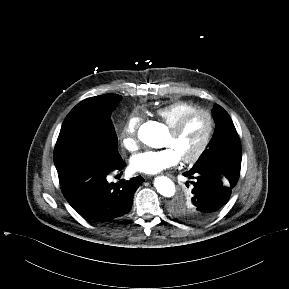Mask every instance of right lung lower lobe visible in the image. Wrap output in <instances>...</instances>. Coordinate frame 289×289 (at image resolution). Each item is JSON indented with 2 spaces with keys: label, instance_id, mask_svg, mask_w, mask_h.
Instances as JSON below:
<instances>
[{
  "label": "right lung lower lobe",
  "instance_id": "right-lung-lower-lobe-1",
  "mask_svg": "<svg viewBox=\"0 0 289 289\" xmlns=\"http://www.w3.org/2000/svg\"><path fill=\"white\" fill-rule=\"evenodd\" d=\"M124 162L116 160L110 167L79 164L58 170L61 190L68 203L89 221L104 223L126 215L133 195L143 178L138 176L117 184L106 177L120 171Z\"/></svg>",
  "mask_w": 289,
  "mask_h": 289
}]
</instances>
